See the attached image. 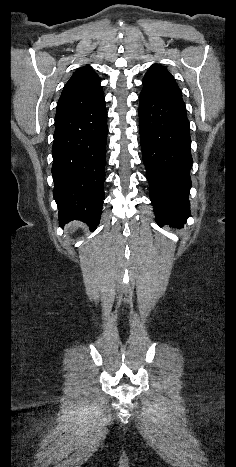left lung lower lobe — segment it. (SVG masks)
Returning <instances> with one entry per match:
<instances>
[{
    "mask_svg": "<svg viewBox=\"0 0 236 467\" xmlns=\"http://www.w3.org/2000/svg\"><path fill=\"white\" fill-rule=\"evenodd\" d=\"M139 130L157 223L182 226L190 216V125L181 97L142 90Z\"/></svg>",
    "mask_w": 236,
    "mask_h": 467,
    "instance_id": "0a47b994",
    "label": "left lung lower lobe"
}]
</instances>
